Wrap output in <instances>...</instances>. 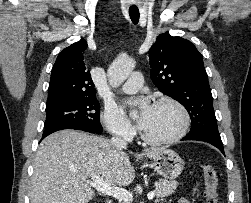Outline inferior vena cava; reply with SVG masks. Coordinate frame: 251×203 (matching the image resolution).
Segmentation results:
<instances>
[{
  "instance_id": "602c4592",
  "label": "inferior vena cava",
  "mask_w": 251,
  "mask_h": 203,
  "mask_svg": "<svg viewBox=\"0 0 251 203\" xmlns=\"http://www.w3.org/2000/svg\"><path fill=\"white\" fill-rule=\"evenodd\" d=\"M110 142L112 146L117 149H125L127 147L126 141L119 136L112 137Z\"/></svg>"
}]
</instances>
